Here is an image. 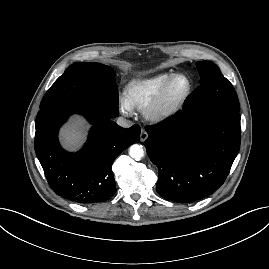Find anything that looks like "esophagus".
<instances>
[{
	"instance_id": "1",
	"label": "esophagus",
	"mask_w": 269,
	"mask_h": 269,
	"mask_svg": "<svg viewBox=\"0 0 269 269\" xmlns=\"http://www.w3.org/2000/svg\"><path fill=\"white\" fill-rule=\"evenodd\" d=\"M147 138H148V133L144 129H142L140 133V141L144 142Z\"/></svg>"
}]
</instances>
